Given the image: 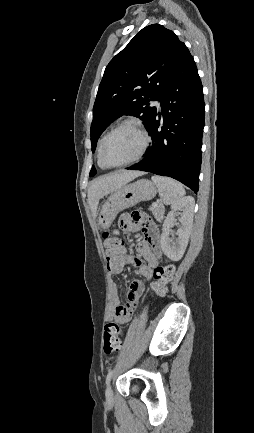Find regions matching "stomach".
I'll return each instance as SVG.
<instances>
[{
	"instance_id": "1",
	"label": "stomach",
	"mask_w": 254,
	"mask_h": 433,
	"mask_svg": "<svg viewBox=\"0 0 254 433\" xmlns=\"http://www.w3.org/2000/svg\"><path fill=\"white\" fill-rule=\"evenodd\" d=\"M157 193L156 186L147 179L123 185L108 197L98 217V225L107 230L117 214L140 201L151 200Z\"/></svg>"
}]
</instances>
